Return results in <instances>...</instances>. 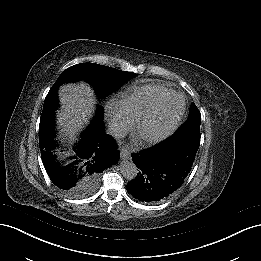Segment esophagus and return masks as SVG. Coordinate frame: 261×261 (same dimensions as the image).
Segmentation results:
<instances>
[{"mask_svg": "<svg viewBox=\"0 0 261 261\" xmlns=\"http://www.w3.org/2000/svg\"><path fill=\"white\" fill-rule=\"evenodd\" d=\"M121 158L123 160H128L130 158V153L127 148L122 147L121 148Z\"/></svg>", "mask_w": 261, "mask_h": 261, "instance_id": "34e87169", "label": "esophagus"}]
</instances>
